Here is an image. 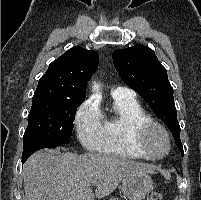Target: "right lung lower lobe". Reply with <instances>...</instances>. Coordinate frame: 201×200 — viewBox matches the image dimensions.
<instances>
[{
    "label": "right lung lower lobe",
    "instance_id": "1",
    "mask_svg": "<svg viewBox=\"0 0 201 200\" xmlns=\"http://www.w3.org/2000/svg\"><path fill=\"white\" fill-rule=\"evenodd\" d=\"M65 143H69V141L51 139L41 136L25 138L23 139L22 164L28 159V157H30L35 151L39 149L54 148Z\"/></svg>",
    "mask_w": 201,
    "mask_h": 200
}]
</instances>
